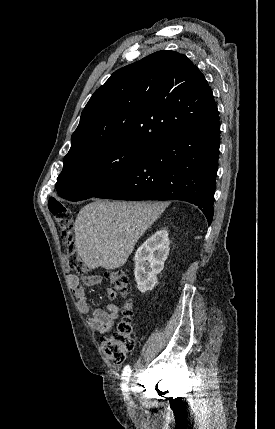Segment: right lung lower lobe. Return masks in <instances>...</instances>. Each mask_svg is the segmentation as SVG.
Segmentation results:
<instances>
[{
    "label": "right lung lower lobe",
    "instance_id": "obj_1",
    "mask_svg": "<svg viewBox=\"0 0 275 429\" xmlns=\"http://www.w3.org/2000/svg\"><path fill=\"white\" fill-rule=\"evenodd\" d=\"M219 145V118L171 133L149 147L137 168L93 197L187 201L201 208L210 225Z\"/></svg>",
    "mask_w": 275,
    "mask_h": 429
}]
</instances>
